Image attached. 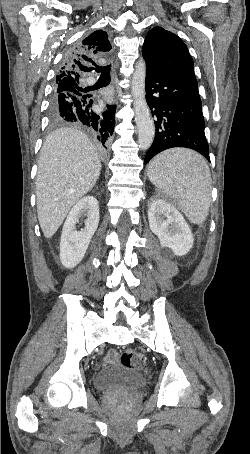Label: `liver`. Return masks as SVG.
Here are the masks:
<instances>
[{"label": "liver", "mask_w": 250, "mask_h": 454, "mask_svg": "<svg viewBox=\"0 0 250 454\" xmlns=\"http://www.w3.org/2000/svg\"><path fill=\"white\" fill-rule=\"evenodd\" d=\"M101 171L96 146L80 130L51 132L41 149L36 178L37 215L45 238H51L72 206L95 185Z\"/></svg>", "instance_id": "obj_1"}]
</instances>
